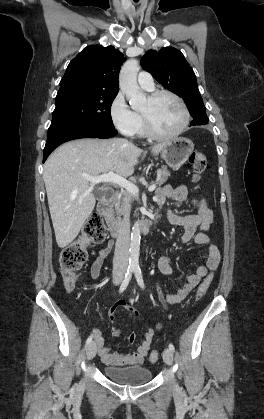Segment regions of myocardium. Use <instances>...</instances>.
<instances>
[{
    "label": "myocardium",
    "mask_w": 264,
    "mask_h": 419,
    "mask_svg": "<svg viewBox=\"0 0 264 419\" xmlns=\"http://www.w3.org/2000/svg\"><path fill=\"white\" fill-rule=\"evenodd\" d=\"M164 95H168V96L174 98L178 102V104L180 105V107L182 109V112H183V122H182L181 126L179 127V129L177 131H175L172 134L164 135V134H160L156 131L150 116L146 112H142L146 134L151 139L157 140V141H170V140H173V139L177 138L178 136H180L186 130V128L188 127L189 122H190V113H189L188 107H187L186 103L184 102V100L178 94H176L175 92H173L171 90H167V89L155 90V91H153L149 94L148 99L150 101H155L156 99H158L159 97L164 96Z\"/></svg>",
    "instance_id": "myocardium-1"
}]
</instances>
